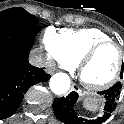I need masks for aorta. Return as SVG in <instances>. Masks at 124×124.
Here are the masks:
<instances>
[{"label": "aorta", "instance_id": "762f6f07", "mask_svg": "<svg viewBox=\"0 0 124 124\" xmlns=\"http://www.w3.org/2000/svg\"><path fill=\"white\" fill-rule=\"evenodd\" d=\"M49 86L54 94H65L70 89V78L65 73H56L51 77Z\"/></svg>", "mask_w": 124, "mask_h": 124}]
</instances>
